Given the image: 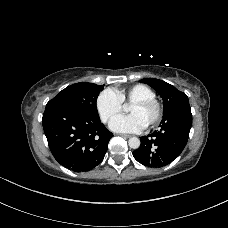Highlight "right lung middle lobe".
<instances>
[{"mask_svg": "<svg viewBox=\"0 0 228 228\" xmlns=\"http://www.w3.org/2000/svg\"><path fill=\"white\" fill-rule=\"evenodd\" d=\"M104 85L80 82L59 92L47 104L61 103L75 107L85 113L98 115L96 101Z\"/></svg>", "mask_w": 228, "mask_h": 228, "instance_id": "right-lung-middle-lobe-1", "label": "right lung middle lobe"}]
</instances>
